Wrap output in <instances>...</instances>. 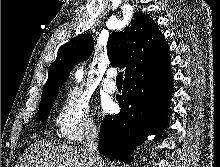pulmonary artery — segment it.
Returning a JSON list of instances; mask_svg holds the SVG:
<instances>
[{
    "label": "pulmonary artery",
    "mask_w": 220,
    "mask_h": 167,
    "mask_svg": "<svg viewBox=\"0 0 220 167\" xmlns=\"http://www.w3.org/2000/svg\"><path fill=\"white\" fill-rule=\"evenodd\" d=\"M114 76L115 72L113 70H108L102 82L103 89L109 94L117 90L116 83L113 80Z\"/></svg>",
    "instance_id": "e3ab8cb5"
}]
</instances>
